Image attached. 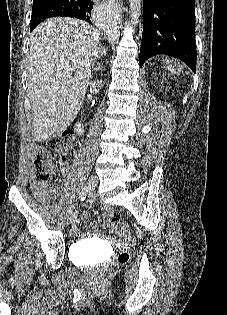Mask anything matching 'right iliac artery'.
I'll list each match as a JSON object with an SVG mask.
<instances>
[{"mask_svg":"<svg viewBox=\"0 0 227 315\" xmlns=\"http://www.w3.org/2000/svg\"><path fill=\"white\" fill-rule=\"evenodd\" d=\"M88 187H84L82 190H81V192H80V195H79V198L81 199V200H84L85 199V197H86V195H87V193H88ZM73 213V209L72 208H70L68 211H67V214L68 215H71Z\"/></svg>","mask_w":227,"mask_h":315,"instance_id":"right-iliac-artery-1","label":"right iliac artery"}]
</instances>
